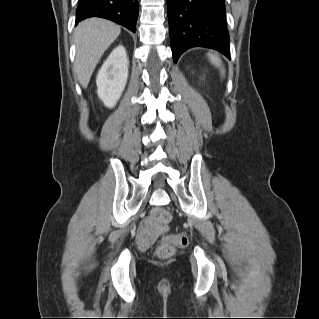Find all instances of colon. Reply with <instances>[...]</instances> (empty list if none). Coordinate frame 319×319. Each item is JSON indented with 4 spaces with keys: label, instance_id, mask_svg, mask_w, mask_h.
Masks as SVG:
<instances>
[{
    "label": "colon",
    "instance_id": "obj_1",
    "mask_svg": "<svg viewBox=\"0 0 319 319\" xmlns=\"http://www.w3.org/2000/svg\"><path fill=\"white\" fill-rule=\"evenodd\" d=\"M170 221V214L164 207H158L154 210L150 217L149 223L152 226L157 227L160 230H164L168 227ZM187 245V238L182 233L173 235H165L162 240V244L157 249L156 255L159 258H168L172 256L176 249L183 248Z\"/></svg>",
    "mask_w": 319,
    "mask_h": 319
}]
</instances>
